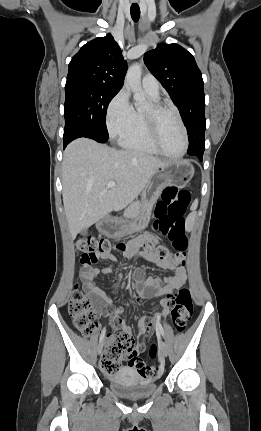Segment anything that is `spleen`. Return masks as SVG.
Instances as JSON below:
<instances>
[{
  "label": "spleen",
  "mask_w": 261,
  "mask_h": 431,
  "mask_svg": "<svg viewBox=\"0 0 261 431\" xmlns=\"http://www.w3.org/2000/svg\"><path fill=\"white\" fill-rule=\"evenodd\" d=\"M196 206H197V201H196V202H194V204H193L192 208H196Z\"/></svg>",
  "instance_id": "1"
}]
</instances>
